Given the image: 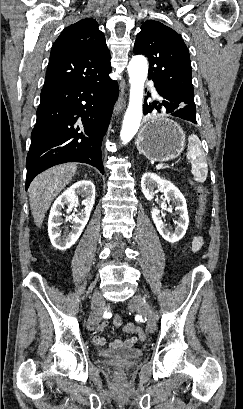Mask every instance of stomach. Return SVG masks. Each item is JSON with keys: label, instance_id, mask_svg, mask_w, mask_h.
Returning a JSON list of instances; mask_svg holds the SVG:
<instances>
[{"label": "stomach", "instance_id": "0dacf381", "mask_svg": "<svg viewBox=\"0 0 243 409\" xmlns=\"http://www.w3.org/2000/svg\"><path fill=\"white\" fill-rule=\"evenodd\" d=\"M185 132L178 123L159 115L142 126L136 146L149 160L163 162L178 157L185 147Z\"/></svg>", "mask_w": 243, "mask_h": 409}]
</instances>
